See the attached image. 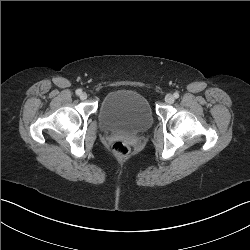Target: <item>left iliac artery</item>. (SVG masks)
Wrapping results in <instances>:
<instances>
[{"mask_svg":"<svg viewBox=\"0 0 250 250\" xmlns=\"http://www.w3.org/2000/svg\"><path fill=\"white\" fill-rule=\"evenodd\" d=\"M173 95H174V98H176V99L179 97V93L178 92H175Z\"/></svg>","mask_w":250,"mask_h":250,"instance_id":"44dca946","label":"left iliac artery"}]
</instances>
